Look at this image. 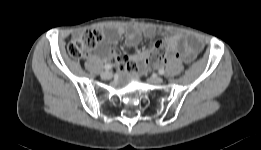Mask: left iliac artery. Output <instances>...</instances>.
<instances>
[{
  "label": "left iliac artery",
  "mask_w": 261,
  "mask_h": 150,
  "mask_svg": "<svg viewBox=\"0 0 261 150\" xmlns=\"http://www.w3.org/2000/svg\"><path fill=\"white\" fill-rule=\"evenodd\" d=\"M159 74H160V75L165 74V70H164L163 68L159 69Z\"/></svg>",
  "instance_id": "44dca946"
}]
</instances>
